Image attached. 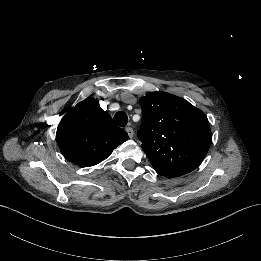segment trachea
Wrapping results in <instances>:
<instances>
[{
	"label": "trachea",
	"mask_w": 261,
	"mask_h": 261,
	"mask_svg": "<svg viewBox=\"0 0 261 261\" xmlns=\"http://www.w3.org/2000/svg\"><path fill=\"white\" fill-rule=\"evenodd\" d=\"M113 120L117 126L125 127L128 122V116L125 112H117Z\"/></svg>",
	"instance_id": "trachea-1"
}]
</instances>
